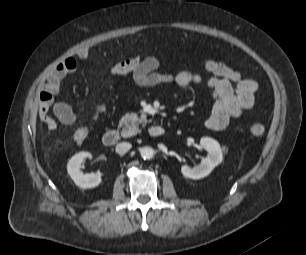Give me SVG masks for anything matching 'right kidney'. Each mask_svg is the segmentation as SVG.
<instances>
[{
	"instance_id": "1",
	"label": "right kidney",
	"mask_w": 306,
	"mask_h": 255,
	"mask_svg": "<svg viewBox=\"0 0 306 255\" xmlns=\"http://www.w3.org/2000/svg\"><path fill=\"white\" fill-rule=\"evenodd\" d=\"M86 158H91L89 152H79L72 156L67 164L68 174L74 183L82 189L94 188L102 181L100 175L94 173L85 174L80 170V165Z\"/></svg>"
}]
</instances>
